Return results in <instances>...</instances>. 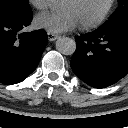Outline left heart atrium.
<instances>
[{
    "label": "left heart atrium",
    "mask_w": 128,
    "mask_h": 128,
    "mask_svg": "<svg viewBox=\"0 0 128 128\" xmlns=\"http://www.w3.org/2000/svg\"><path fill=\"white\" fill-rule=\"evenodd\" d=\"M34 24L37 28L45 29L52 33H62L75 29L79 22L71 11L62 13H42L35 17Z\"/></svg>",
    "instance_id": "obj_1"
}]
</instances>
